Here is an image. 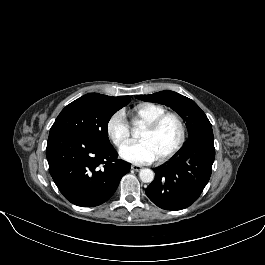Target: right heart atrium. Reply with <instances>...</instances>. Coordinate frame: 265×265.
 Wrapping results in <instances>:
<instances>
[{
	"label": "right heart atrium",
	"mask_w": 265,
	"mask_h": 265,
	"mask_svg": "<svg viewBox=\"0 0 265 265\" xmlns=\"http://www.w3.org/2000/svg\"><path fill=\"white\" fill-rule=\"evenodd\" d=\"M106 131L114 144L121 148L130 140V127L122 111L114 112L106 123Z\"/></svg>",
	"instance_id": "d8ad5b80"
}]
</instances>
